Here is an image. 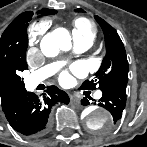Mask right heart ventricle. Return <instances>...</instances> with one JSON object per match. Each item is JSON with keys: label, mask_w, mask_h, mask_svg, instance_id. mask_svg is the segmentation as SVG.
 Wrapping results in <instances>:
<instances>
[{"label": "right heart ventricle", "mask_w": 147, "mask_h": 147, "mask_svg": "<svg viewBox=\"0 0 147 147\" xmlns=\"http://www.w3.org/2000/svg\"><path fill=\"white\" fill-rule=\"evenodd\" d=\"M73 35L75 39L86 40L91 44L96 37L97 31L93 23L86 18H77L74 23Z\"/></svg>", "instance_id": "obj_1"}]
</instances>
